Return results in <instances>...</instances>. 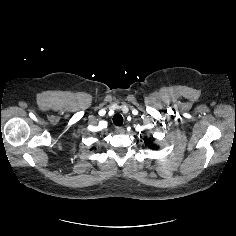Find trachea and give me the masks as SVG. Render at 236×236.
<instances>
[{
    "instance_id": "1",
    "label": "trachea",
    "mask_w": 236,
    "mask_h": 236,
    "mask_svg": "<svg viewBox=\"0 0 236 236\" xmlns=\"http://www.w3.org/2000/svg\"><path fill=\"white\" fill-rule=\"evenodd\" d=\"M113 123L116 125V126H121L123 124V117L120 115V114H115L113 116Z\"/></svg>"
}]
</instances>
